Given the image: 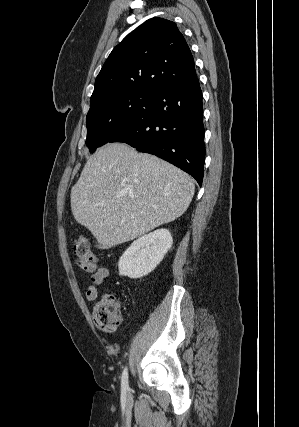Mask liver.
Returning <instances> with one entry per match:
<instances>
[{
    "label": "liver",
    "instance_id": "liver-1",
    "mask_svg": "<svg viewBox=\"0 0 299 427\" xmlns=\"http://www.w3.org/2000/svg\"><path fill=\"white\" fill-rule=\"evenodd\" d=\"M193 179L172 164L124 143L90 157L71 189L75 220L109 249L174 221L189 207Z\"/></svg>",
    "mask_w": 299,
    "mask_h": 427
}]
</instances>
